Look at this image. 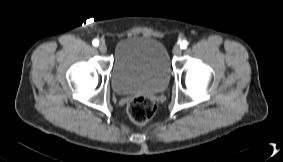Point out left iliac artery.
Here are the masks:
<instances>
[{
    "label": "left iliac artery",
    "mask_w": 283,
    "mask_h": 162,
    "mask_svg": "<svg viewBox=\"0 0 283 162\" xmlns=\"http://www.w3.org/2000/svg\"><path fill=\"white\" fill-rule=\"evenodd\" d=\"M187 45H188V42L186 41V40H183L181 43H180V46H181V48H186L187 47Z\"/></svg>",
    "instance_id": "left-iliac-artery-1"
}]
</instances>
